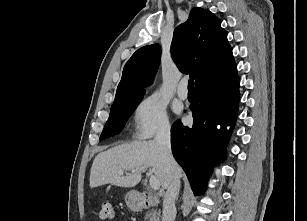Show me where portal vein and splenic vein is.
I'll return each instance as SVG.
<instances>
[{"mask_svg":"<svg viewBox=\"0 0 307 221\" xmlns=\"http://www.w3.org/2000/svg\"><path fill=\"white\" fill-rule=\"evenodd\" d=\"M120 175H123V172H120ZM149 184L151 186L152 189L154 190H159L160 189V181L158 180V178L155 175H150L149 178Z\"/></svg>","mask_w":307,"mask_h":221,"instance_id":"obj_1","label":"portal vein and splenic vein"}]
</instances>
